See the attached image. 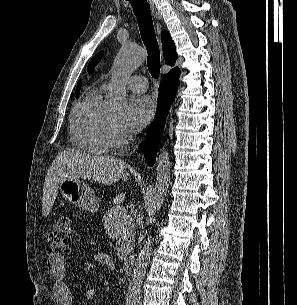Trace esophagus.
<instances>
[{"instance_id": "34e87169", "label": "esophagus", "mask_w": 297, "mask_h": 305, "mask_svg": "<svg viewBox=\"0 0 297 305\" xmlns=\"http://www.w3.org/2000/svg\"><path fill=\"white\" fill-rule=\"evenodd\" d=\"M147 1L149 3L150 8H151L154 19L155 20L160 19V14L157 12L153 0H147ZM156 32H157V35L160 36L161 26L158 23H156ZM141 162H142V160H141Z\"/></svg>"}]
</instances>
